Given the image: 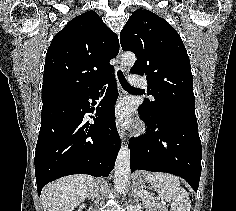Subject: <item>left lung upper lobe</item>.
<instances>
[{
    "label": "left lung upper lobe",
    "instance_id": "5c2ea615",
    "mask_svg": "<svg viewBox=\"0 0 236 211\" xmlns=\"http://www.w3.org/2000/svg\"><path fill=\"white\" fill-rule=\"evenodd\" d=\"M124 51L137 57L132 73L145 75L154 101L140 107L151 116L196 119L190 60L180 35L148 10H136L120 33Z\"/></svg>",
    "mask_w": 236,
    "mask_h": 211
}]
</instances>
